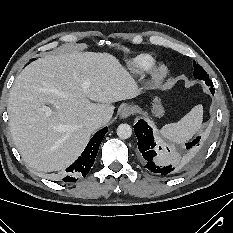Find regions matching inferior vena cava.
I'll return each mask as SVG.
<instances>
[{"label": "inferior vena cava", "mask_w": 233, "mask_h": 233, "mask_svg": "<svg viewBox=\"0 0 233 233\" xmlns=\"http://www.w3.org/2000/svg\"><path fill=\"white\" fill-rule=\"evenodd\" d=\"M105 123H106L105 119L99 115H90L84 121L85 127L92 131L105 125Z\"/></svg>", "instance_id": "obj_1"}]
</instances>
